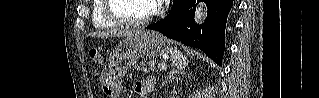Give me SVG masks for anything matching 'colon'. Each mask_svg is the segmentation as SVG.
<instances>
[{
	"mask_svg": "<svg viewBox=\"0 0 319 98\" xmlns=\"http://www.w3.org/2000/svg\"><path fill=\"white\" fill-rule=\"evenodd\" d=\"M90 59L96 64H100L102 62V56L98 49L92 48L89 51Z\"/></svg>",
	"mask_w": 319,
	"mask_h": 98,
	"instance_id": "1",
	"label": "colon"
}]
</instances>
